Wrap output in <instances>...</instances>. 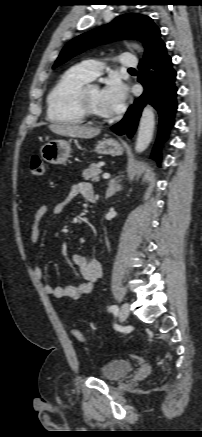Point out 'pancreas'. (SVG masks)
Masks as SVG:
<instances>
[{"instance_id": "pancreas-1", "label": "pancreas", "mask_w": 202, "mask_h": 437, "mask_svg": "<svg viewBox=\"0 0 202 437\" xmlns=\"http://www.w3.org/2000/svg\"><path fill=\"white\" fill-rule=\"evenodd\" d=\"M102 173L101 165L99 163H93L88 168L83 170L82 176L85 180H91L93 182L99 181V174Z\"/></svg>"}]
</instances>
